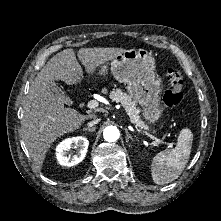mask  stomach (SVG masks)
Masks as SVG:
<instances>
[{
	"mask_svg": "<svg viewBox=\"0 0 221 221\" xmlns=\"http://www.w3.org/2000/svg\"><path fill=\"white\" fill-rule=\"evenodd\" d=\"M108 66L101 65L100 75L107 73ZM110 70L116 80L126 85L130 96L143 108V117L150 124L156 123L163 114L160 104L162 79L156 73L155 59L145 49H129L110 62Z\"/></svg>",
	"mask_w": 221,
	"mask_h": 221,
	"instance_id": "1",
	"label": "stomach"
}]
</instances>
